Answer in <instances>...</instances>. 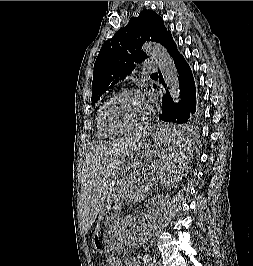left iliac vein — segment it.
<instances>
[{
    "mask_svg": "<svg viewBox=\"0 0 253 266\" xmlns=\"http://www.w3.org/2000/svg\"><path fill=\"white\" fill-rule=\"evenodd\" d=\"M158 266H163V265L159 263Z\"/></svg>",
    "mask_w": 253,
    "mask_h": 266,
    "instance_id": "4c4485c4",
    "label": "left iliac vein"
}]
</instances>
